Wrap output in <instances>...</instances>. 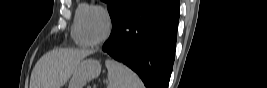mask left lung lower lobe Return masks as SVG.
<instances>
[{
	"mask_svg": "<svg viewBox=\"0 0 267 88\" xmlns=\"http://www.w3.org/2000/svg\"><path fill=\"white\" fill-rule=\"evenodd\" d=\"M178 20V0H130L102 50L133 69L147 88H167Z\"/></svg>",
	"mask_w": 267,
	"mask_h": 88,
	"instance_id": "obj_1",
	"label": "left lung lower lobe"
}]
</instances>
